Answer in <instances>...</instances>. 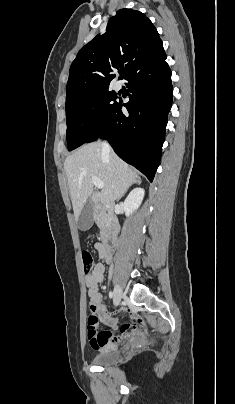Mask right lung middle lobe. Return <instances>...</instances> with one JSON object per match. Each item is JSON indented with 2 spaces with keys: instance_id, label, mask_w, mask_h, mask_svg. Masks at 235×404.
I'll return each instance as SVG.
<instances>
[{
  "instance_id": "1",
  "label": "right lung middle lobe",
  "mask_w": 235,
  "mask_h": 404,
  "mask_svg": "<svg viewBox=\"0 0 235 404\" xmlns=\"http://www.w3.org/2000/svg\"><path fill=\"white\" fill-rule=\"evenodd\" d=\"M117 96L108 89L66 102V138L71 151L86 143L116 105ZM95 107L92 113V107Z\"/></svg>"
}]
</instances>
